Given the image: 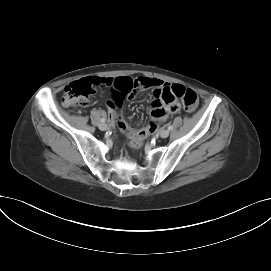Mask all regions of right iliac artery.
I'll use <instances>...</instances> for the list:
<instances>
[{"label": "right iliac artery", "instance_id": "1", "mask_svg": "<svg viewBox=\"0 0 271 271\" xmlns=\"http://www.w3.org/2000/svg\"><path fill=\"white\" fill-rule=\"evenodd\" d=\"M105 121H106L105 118H102V119H101V122H102V123H105Z\"/></svg>", "mask_w": 271, "mask_h": 271}]
</instances>
